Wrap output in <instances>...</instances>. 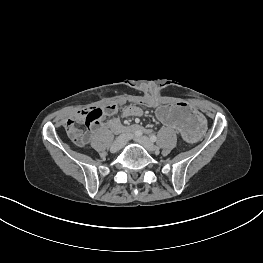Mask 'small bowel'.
Returning a JSON list of instances; mask_svg holds the SVG:
<instances>
[{"instance_id": "c3829d8e", "label": "small bowel", "mask_w": 263, "mask_h": 263, "mask_svg": "<svg viewBox=\"0 0 263 263\" xmlns=\"http://www.w3.org/2000/svg\"><path fill=\"white\" fill-rule=\"evenodd\" d=\"M119 110H120V107L117 106L116 109L110 115L116 114ZM82 113L83 111L77 113L75 115V119H80L82 116ZM121 113L124 117H132V116L138 117V116H142L143 110L140 107L135 106V105H127L121 109Z\"/></svg>"}]
</instances>
